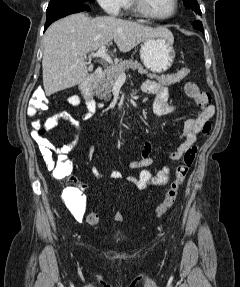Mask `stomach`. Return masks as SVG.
Here are the masks:
<instances>
[{"label": "stomach", "mask_w": 240, "mask_h": 287, "mask_svg": "<svg viewBox=\"0 0 240 287\" xmlns=\"http://www.w3.org/2000/svg\"><path fill=\"white\" fill-rule=\"evenodd\" d=\"M173 37H154L142 42L140 59L144 66L154 73L167 71L174 62Z\"/></svg>", "instance_id": "0dacf381"}]
</instances>
